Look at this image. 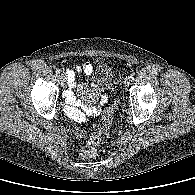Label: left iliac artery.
I'll list each match as a JSON object with an SVG mask.
<instances>
[{"instance_id":"44dca946","label":"left iliac artery","mask_w":195,"mask_h":195,"mask_svg":"<svg viewBox=\"0 0 195 195\" xmlns=\"http://www.w3.org/2000/svg\"><path fill=\"white\" fill-rule=\"evenodd\" d=\"M134 77V73H131L129 78L132 79Z\"/></svg>"}]
</instances>
